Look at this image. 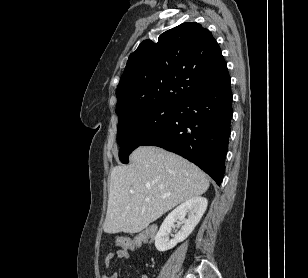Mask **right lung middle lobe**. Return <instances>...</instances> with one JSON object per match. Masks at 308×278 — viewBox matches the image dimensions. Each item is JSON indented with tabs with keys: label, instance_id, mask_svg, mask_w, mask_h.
Segmentation results:
<instances>
[{
	"label": "right lung middle lobe",
	"instance_id": "right-lung-middle-lobe-1",
	"mask_svg": "<svg viewBox=\"0 0 308 278\" xmlns=\"http://www.w3.org/2000/svg\"><path fill=\"white\" fill-rule=\"evenodd\" d=\"M178 112V105L159 104L137 110L118 122L119 158L128 163L131 152L170 122Z\"/></svg>",
	"mask_w": 308,
	"mask_h": 278
}]
</instances>
